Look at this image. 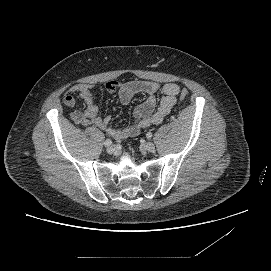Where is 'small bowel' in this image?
<instances>
[{"mask_svg":"<svg viewBox=\"0 0 271 271\" xmlns=\"http://www.w3.org/2000/svg\"><path fill=\"white\" fill-rule=\"evenodd\" d=\"M105 89L110 93H117L121 103L128 104L137 94H145V101L139 104L133 111L134 120L128 126L118 129L110 126V117L99 115V110L92 95L90 84H75L64 95L63 102L67 107L75 106L77 94L85 103V111L75 110L71 113V119L83 126L95 125L106 131L116 140H123L137 135L143 128L157 125L163 122L177 103L179 86L175 83L161 85L157 82L134 80L129 82L109 81ZM162 93L163 97L157 106L156 95Z\"/></svg>","mask_w":271,"mask_h":271,"instance_id":"c3829d8e","label":"small bowel"}]
</instances>
